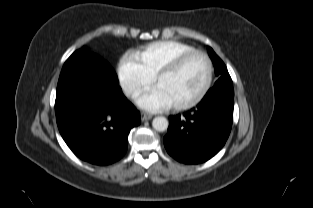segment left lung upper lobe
<instances>
[{
	"label": "left lung upper lobe",
	"mask_w": 313,
	"mask_h": 208,
	"mask_svg": "<svg viewBox=\"0 0 313 208\" xmlns=\"http://www.w3.org/2000/svg\"><path fill=\"white\" fill-rule=\"evenodd\" d=\"M209 55L213 61L214 67H215V74L218 76V80L216 81L214 86L219 85H232L231 77L227 71V68L223 61L215 54V52L212 50V48H208Z\"/></svg>",
	"instance_id": "left-lung-upper-lobe-1"
}]
</instances>
